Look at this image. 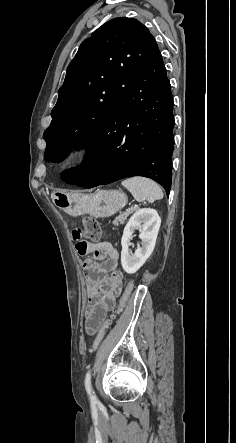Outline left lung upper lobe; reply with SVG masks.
<instances>
[{"mask_svg": "<svg viewBox=\"0 0 236 443\" xmlns=\"http://www.w3.org/2000/svg\"><path fill=\"white\" fill-rule=\"evenodd\" d=\"M156 47L149 30L127 17L106 22L81 43L43 134L46 161L59 162L69 149L87 146Z\"/></svg>", "mask_w": 236, "mask_h": 443, "instance_id": "1", "label": "left lung upper lobe"}]
</instances>
